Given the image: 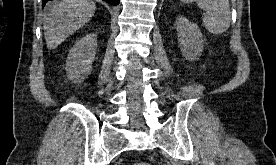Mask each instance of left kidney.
Returning <instances> with one entry per match:
<instances>
[{
  "label": "left kidney",
  "instance_id": "1",
  "mask_svg": "<svg viewBox=\"0 0 276 165\" xmlns=\"http://www.w3.org/2000/svg\"><path fill=\"white\" fill-rule=\"evenodd\" d=\"M180 48L187 60L197 59L203 50L204 40L199 27L183 16L176 19Z\"/></svg>",
  "mask_w": 276,
  "mask_h": 165
}]
</instances>
